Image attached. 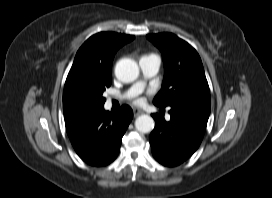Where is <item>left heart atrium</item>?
<instances>
[{
  "mask_svg": "<svg viewBox=\"0 0 272 198\" xmlns=\"http://www.w3.org/2000/svg\"><path fill=\"white\" fill-rule=\"evenodd\" d=\"M142 101H143V100H142L141 98H138V99L135 100V103H136V104H140V103H142Z\"/></svg>",
  "mask_w": 272,
  "mask_h": 198,
  "instance_id": "1",
  "label": "left heart atrium"
}]
</instances>
